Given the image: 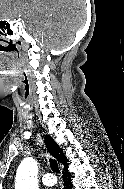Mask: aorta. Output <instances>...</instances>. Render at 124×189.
Masks as SVG:
<instances>
[{
    "mask_svg": "<svg viewBox=\"0 0 124 189\" xmlns=\"http://www.w3.org/2000/svg\"><path fill=\"white\" fill-rule=\"evenodd\" d=\"M37 173V162L31 157L25 158L17 169L15 189H39Z\"/></svg>",
    "mask_w": 124,
    "mask_h": 189,
    "instance_id": "1",
    "label": "aorta"
}]
</instances>
